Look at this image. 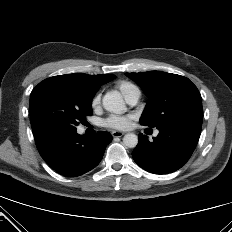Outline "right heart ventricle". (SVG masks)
<instances>
[{
  "label": "right heart ventricle",
  "mask_w": 232,
  "mask_h": 232,
  "mask_svg": "<svg viewBox=\"0 0 232 232\" xmlns=\"http://www.w3.org/2000/svg\"><path fill=\"white\" fill-rule=\"evenodd\" d=\"M117 89L121 92L126 100L132 98L135 95L140 94L139 88L130 81H119L116 84Z\"/></svg>",
  "instance_id": "right-heart-ventricle-1"
}]
</instances>
